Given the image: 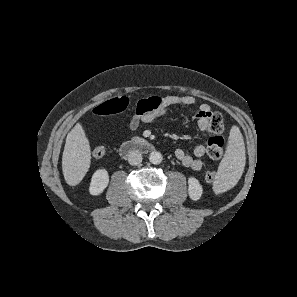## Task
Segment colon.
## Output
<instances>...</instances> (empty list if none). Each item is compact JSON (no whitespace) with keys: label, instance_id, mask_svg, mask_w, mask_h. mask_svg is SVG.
I'll return each mask as SVG.
<instances>
[{"label":"colon","instance_id":"colon-1","mask_svg":"<svg viewBox=\"0 0 297 297\" xmlns=\"http://www.w3.org/2000/svg\"><path fill=\"white\" fill-rule=\"evenodd\" d=\"M128 99L125 97H115L94 108V113L98 116L114 115L124 112L128 107ZM151 106V102L143 99L135 105V113L141 115L145 113ZM209 130L211 136L207 141V155L211 160H218L222 156L225 140L222 135L223 116L219 112H212L209 116ZM105 154V148L98 146L94 149L95 157H102ZM205 180L208 183H213L215 180V172L207 171Z\"/></svg>","mask_w":297,"mask_h":297}]
</instances>
